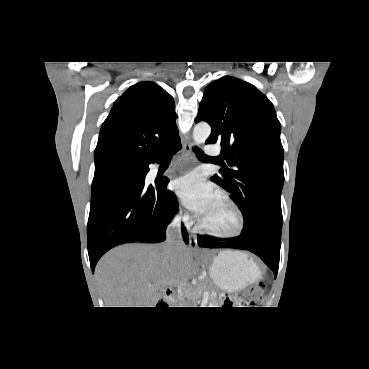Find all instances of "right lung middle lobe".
I'll list each match as a JSON object with an SVG mask.
<instances>
[{
  "instance_id": "dd1d6c3e",
  "label": "right lung middle lobe",
  "mask_w": 369,
  "mask_h": 369,
  "mask_svg": "<svg viewBox=\"0 0 369 369\" xmlns=\"http://www.w3.org/2000/svg\"><path fill=\"white\" fill-rule=\"evenodd\" d=\"M134 164L135 163L122 162V161H114V162L96 164L94 179L92 182V190L97 188L99 185H101L104 181H106L111 176L133 166Z\"/></svg>"
}]
</instances>
